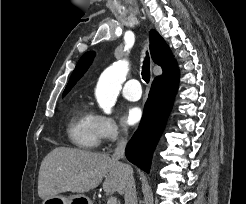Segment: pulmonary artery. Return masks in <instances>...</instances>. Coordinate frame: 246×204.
<instances>
[{"label":"pulmonary artery","mask_w":246,"mask_h":204,"mask_svg":"<svg viewBox=\"0 0 246 204\" xmlns=\"http://www.w3.org/2000/svg\"><path fill=\"white\" fill-rule=\"evenodd\" d=\"M123 96L130 101H137L141 98V86L137 79L128 80L122 90Z\"/></svg>","instance_id":"1"}]
</instances>
